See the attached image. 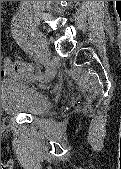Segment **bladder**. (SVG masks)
I'll return each mask as SVG.
<instances>
[{
	"label": "bladder",
	"instance_id": "1",
	"mask_svg": "<svg viewBox=\"0 0 121 169\" xmlns=\"http://www.w3.org/2000/svg\"><path fill=\"white\" fill-rule=\"evenodd\" d=\"M1 107L8 114L42 115L51 102L40 90L14 79L1 81Z\"/></svg>",
	"mask_w": 121,
	"mask_h": 169
}]
</instances>
